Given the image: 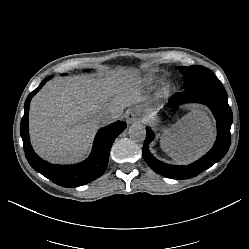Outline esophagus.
<instances>
[{
	"label": "esophagus",
	"mask_w": 249,
	"mask_h": 249,
	"mask_svg": "<svg viewBox=\"0 0 249 249\" xmlns=\"http://www.w3.org/2000/svg\"><path fill=\"white\" fill-rule=\"evenodd\" d=\"M125 121L128 125L136 122L137 116L136 111L133 108H129L124 114Z\"/></svg>",
	"instance_id": "obj_1"
}]
</instances>
